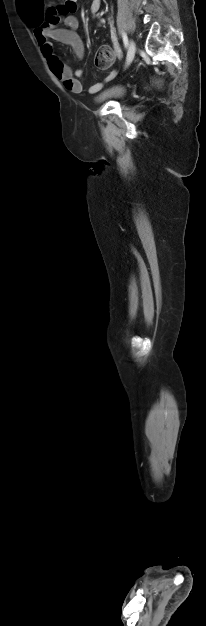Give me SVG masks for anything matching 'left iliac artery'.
Masks as SVG:
<instances>
[{
    "mask_svg": "<svg viewBox=\"0 0 206 626\" xmlns=\"http://www.w3.org/2000/svg\"><path fill=\"white\" fill-rule=\"evenodd\" d=\"M122 38H123V42H124L125 47H127V45H128V38H127L126 33L122 32Z\"/></svg>",
    "mask_w": 206,
    "mask_h": 626,
    "instance_id": "obj_1",
    "label": "left iliac artery"
}]
</instances>
